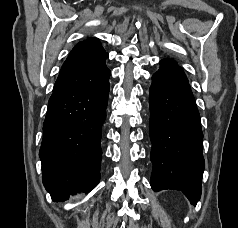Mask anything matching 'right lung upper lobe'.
Here are the masks:
<instances>
[{"label": "right lung upper lobe", "instance_id": "1", "mask_svg": "<svg viewBox=\"0 0 238 228\" xmlns=\"http://www.w3.org/2000/svg\"><path fill=\"white\" fill-rule=\"evenodd\" d=\"M105 52L96 38L79 42L64 62L53 92L96 82L107 69Z\"/></svg>", "mask_w": 238, "mask_h": 228}]
</instances>
